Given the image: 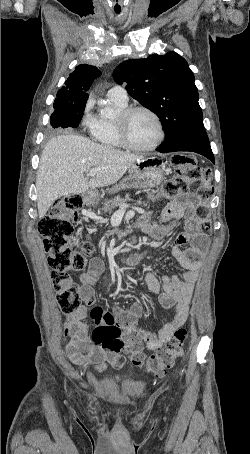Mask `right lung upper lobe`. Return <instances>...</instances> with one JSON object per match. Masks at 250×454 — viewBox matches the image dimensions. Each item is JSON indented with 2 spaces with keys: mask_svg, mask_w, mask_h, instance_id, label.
<instances>
[{
  "mask_svg": "<svg viewBox=\"0 0 250 454\" xmlns=\"http://www.w3.org/2000/svg\"><path fill=\"white\" fill-rule=\"evenodd\" d=\"M100 75L101 71L95 66L87 64L78 65L65 81V87L57 92V98L55 100L70 103L87 101V91L93 80Z\"/></svg>",
  "mask_w": 250,
  "mask_h": 454,
  "instance_id": "cb5924a9",
  "label": "right lung upper lobe"
}]
</instances>
